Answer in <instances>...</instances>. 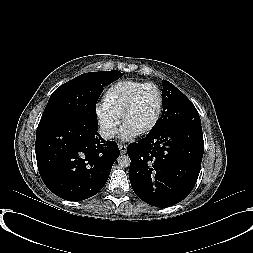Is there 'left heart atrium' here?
<instances>
[{
    "instance_id": "obj_1",
    "label": "left heart atrium",
    "mask_w": 253,
    "mask_h": 253,
    "mask_svg": "<svg viewBox=\"0 0 253 253\" xmlns=\"http://www.w3.org/2000/svg\"><path fill=\"white\" fill-rule=\"evenodd\" d=\"M134 136H135V132L133 130H131L129 127L124 125L121 130V137L123 139H130Z\"/></svg>"
}]
</instances>
